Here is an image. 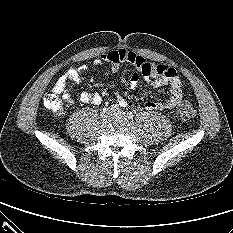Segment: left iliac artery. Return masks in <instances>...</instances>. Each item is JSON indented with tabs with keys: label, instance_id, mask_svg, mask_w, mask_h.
<instances>
[{
	"label": "left iliac artery",
	"instance_id": "1",
	"mask_svg": "<svg viewBox=\"0 0 233 233\" xmlns=\"http://www.w3.org/2000/svg\"><path fill=\"white\" fill-rule=\"evenodd\" d=\"M126 117H127L128 119H133L134 115H133L132 112H127Z\"/></svg>",
	"mask_w": 233,
	"mask_h": 233
}]
</instances>
